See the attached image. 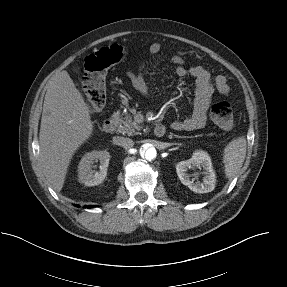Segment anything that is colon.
<instances>
[{"instance_id": "1", "label": "colon", "mask_w": 287, "mask_h": 287, "mask_svg": "<svg viewBox=\"0 0 287 287\" xmlns=\"http://www.w3.org/2000/svg\"><path fill=\"white\" fill-rule=\"evenodd\" d=\"M126 49L113 44L103 47L85 59L82 86L85 99L91 110H101L106 102L105 78L108 69L126 56ZM213 122L224 130L233 127V110L227 101H219L211 107Z\"/></svg>"}]
</instances>
